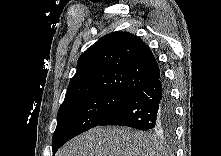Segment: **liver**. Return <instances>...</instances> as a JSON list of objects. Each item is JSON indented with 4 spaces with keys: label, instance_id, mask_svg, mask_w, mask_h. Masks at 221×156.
<instances>
[{
    "label": "liver",
    "instance_id": "obj_1",
    "mask_svg": "<svg viewBox=\"0 0 221 156\" xmlns=\"http://www.w3.org/2000/svg\"><path fill=\"white\" fill-rule=\"evenodd\" d=\"M156 135L128 127H96L64 145L56 156H161Z\"/></svg>",
    "mask_w": 221,
    "mask_h": 156
}]
</instances>
